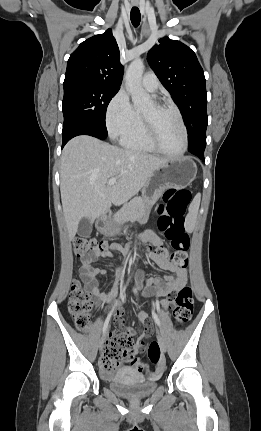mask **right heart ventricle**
<instances>
[{"mask_svg": "<svg viewBox=\"0 0 261 431\" xmlns=\"http://www.w3.org/2000/svg\"><path fill=\"white\" fill-rule=\"evenodd\" d=\"M120 143L125 148L147 152V153H156L157 150L153 147L150 141L147 138L142 118L139 113H137V120L135 125L131 130H129L126 134L120 137Z\"/></svg>", "mask_w": 261, "mask_h": 431, "instance_id": "right-heart-ventricle-1", "label": "right heart ventricle"}]
</instances>
